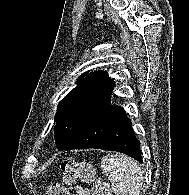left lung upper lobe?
I'll return each mask as SVG.
<instances>
[{
    "label": "left lung upper lobe",
    "instance_id": "obj_1",
    "mask_svg": "<svg viewBox=\"0 0 189 195\" xmlns=\"http://www.w3.org/2000/svg\"><path fill=\"white\" fill-rule=\"evenodd\" d=\"M77 83L57 107L54 120L56 147L110 101L115 86L107 72L101 70L82 74Z\"/></svg>",
    "mask_w": 189,
    "mask_h": 195
}]
</instances>
